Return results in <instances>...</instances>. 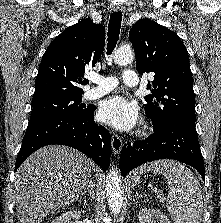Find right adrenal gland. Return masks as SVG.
<instances>
[{"mask_svg":"<svg viewBox=\"0 0 221 223\" xmlns=\"http://www.w3.org/2000/svg\"><path fill=\"white\" fill-rule=\"evenodd\" d=\"M90 195L91 197L94 196V184L92 179L89 180L88 184H87V188L84 190V192L81 193V195Z\"/></svg>","mask_w":221,"mask_h":223,"instance_id":"right-adrenal-gland-1","label":"right adrenal gland"}]
</instances>
